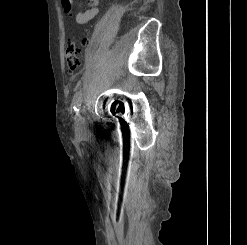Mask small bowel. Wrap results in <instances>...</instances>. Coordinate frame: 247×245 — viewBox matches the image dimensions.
Listing matches in <instances>:
<instances>
[{
  "label": "small bowel",
  "mask_w": 247,
  "mask_h": 245,
  "mask_svg": "<svg viewBox=\"0 0 247 245\" xmlns=\"http://www.w3.org/2000/svg\"><path fill=\"white\" fill-rule=\"evenodd\" d=\"M62 5L67 13L71 11L73 0H61ZM100 0H87L88 8L83 11H79L74 15L77 24H86L93 18H95L99 12Z\"/></svg>",
  "instance_id": "small-bowel-1"
}]
</instances>
